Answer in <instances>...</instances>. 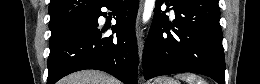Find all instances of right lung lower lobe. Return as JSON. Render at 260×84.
<instances>
[{
  "label": "right lung lower lobe",
  "instance_id": "right-lung-lower-lobe-1",
  "mask_svg": "<svg viewBox=\"0 0 260 84\" xmlns=\"http://www.w3.org/2000/svg\"><path fill=\"white\" fill-rule=\"evenodd\" d=\"M114 9L116 25L113 36L103 37L105 29L98 28L101 7ZM90 24L81 26L50 48L47 84L85 69L105 71L125 84H137L138 49L135 20L139 0H106Z\"/></svg>",
  "mask_w": 260,
  "mask_h": 84
}]
</instances>
